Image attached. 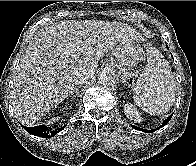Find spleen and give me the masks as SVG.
I'll list each match as a JSON object with an SVG mask.
<instances>
[{"instance_id":"1","label":"spleen","mask_w":196,"mask_h":166,"mask_svg":"<svg viewBox=\"0 0 196 166\" xmlns=\"http://www.w3.org/2000/svg\"><path fill=\"white\" fill-rule=\"evenodd\" d=\"M147 65L137 81L133 99L149 114H161L170 110L175 101L177 86L174 74L164 56L149 45Z\"/></svg>"}]
</instances>
